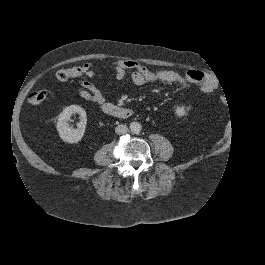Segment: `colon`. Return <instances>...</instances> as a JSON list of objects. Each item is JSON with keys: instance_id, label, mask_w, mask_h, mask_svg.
Returning a JSON list of instances; mask_svg holds the SVG:
<instances>
[{"instance_id": "1", "label": "colon", "mask_w": 265, "mask_h": 265, "mask_svg": "<svg viewBox=\"0 0 265 265\" xmlns=\"http://www.w3.org/2000/svg\"><path fill=\"white\" fill-rule=\"evenodd\" d=\"M85 73V67L77 66L67 69H60L56 72V79L59 81H65L70 78L81 77ZM47 97V93L44 90H38L30 94L28 100L32 105H38L42 103Z\"/></svg>"}]
</instances>
